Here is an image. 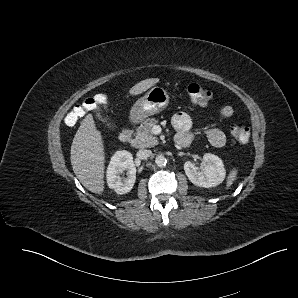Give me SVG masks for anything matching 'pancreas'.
I'll list each match as a JSON object with an SVG mask.
<instances>
[{"label":"pancreas","instance_id":"pancreas-1","mask_svg":"<svg viewBox=\"0 0 298 298\" xmlns=\"http://www.w3.org/2000/svg\"><path fill=\"white\" fill-rule=\"evenodd\" d=\"M158 121L155 118L146 119L135 132V138L132 141V145L135 148H148L158 145V138L153 136L151 129L157 124Z\"/></svg>","mask_w":298,"mask_h":298}]
</instances>
